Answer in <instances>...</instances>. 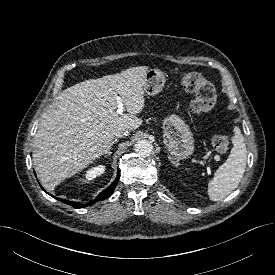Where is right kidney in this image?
Listing matches in <instances>:
<instances>
[{
	"label": "right kidney",
	"mask_w": 275,
	"mask_h": 275,
	"mask_svg": "<svg viewBox=\"0 0 275 275\" xmlns=\"http://www.w3.org/2000/svg\"><path fill=\"white\" fill-rule=\"evenodd\" d=\"M104 171H105V166H103V165L95 166V167L86 171L85 178L87 180H92V179L96 178L97 176H100L101 174H103Z\"/></svg>",
	"instance_id": "right-kidney-1"
}]
</instances>
